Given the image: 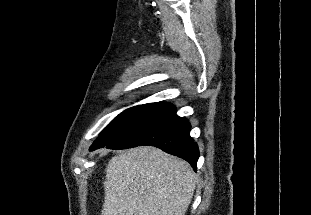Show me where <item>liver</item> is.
<instances>
[{
  "label": "liver",
  "instance_id": "1",
  "mask_svg": "<svg viewBox=\"0 0 311 215\" xmlns=\"http://www.w3.org/2000/svg\"><path fill=\"white\" fill-rule=\"evenodd\" d=\"M195 183L180 158L147 146L127 150L107 165L102 215H185Z\"/></svg>",
  "mask_w": 311,
  "mask_h": 215
}]
</instances>
